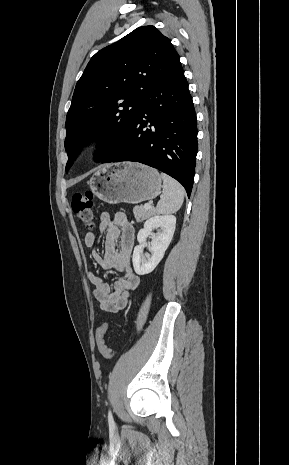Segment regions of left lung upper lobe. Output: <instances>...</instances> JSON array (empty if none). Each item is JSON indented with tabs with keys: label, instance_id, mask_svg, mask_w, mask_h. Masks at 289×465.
I'll return each mask as SVG.
<instances>
[{
	"label": "left lung upper lobe",
	"instance_id": "1",
	"mask_svg": "<svg viewBox=\"0 0 289 465\" xmlns=\"http://www.w3.org/2000/svg\"><path fill=\"white\" fill-rule=\"evenodd\" d=\"M181 66L169 38L142 26L97 52L76 84L66 117V171L79 148L99 141L100 162L118 147L145 94Z\"/></svg>",
	"mask_w": 289,
	"mask_h": 465
}]
</instances>
